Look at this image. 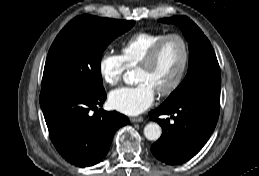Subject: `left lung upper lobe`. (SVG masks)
Returning <instances> with one entry per match:
<instances>
[{"label":"left lung upper lobe","mask_w":259,"mask_h":176,"mask_svg":"<svg viewBox=\"0 0 259 176\" xmlns=\"http://www.w3.org/2000/svg\"><path fill=\"white\" fill-rule=\"evenodd\" d=\"M159 21L179 25L189 46V68L187 75L163 105H174L197 96L220 100V67L208 38L186 16L164 18Z\"/></svg>","instance_id":"left-lung-upper-lobe-1"}]
</instances>
